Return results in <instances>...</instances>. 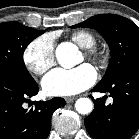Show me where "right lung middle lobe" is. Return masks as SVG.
I'll list each match as a JSON object with an SVG mask.
<instances>
[{
  "mask_svg": "<svg viewBox=\"0 0 139 139\" xmlns=\"http://www.w3.org/2000/svg\"><path fill=\"white\" fill-rule=\"evenodd\" d=\"M43 33L16 21L0 23V72L22 80L33 79L24 64L23 53L28 44Z\"/></svg>",
  "mask_w": 139,
  "mask_h": 139,
  "instance_id": "1",
  "label": "right lung middle lobe"
}]
</instances>
